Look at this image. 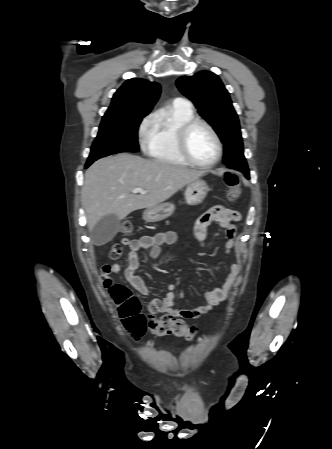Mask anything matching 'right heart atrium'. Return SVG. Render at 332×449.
<instances>
[{
    "instance_id": "obj_1",
    "label": "right heart atrium",
    "mask_w": 332,
    "mask_h": 449,
    "mask_svg": "<svg viewBox=\"0 0 332 449\" xmlns=\"http://www.w3.org/2000/svg\"><path fill=\"white\" fill-rule=\"evenodd\" d=\"M155 118L153 115H149L143 119L139 126V137H140V143L142 147H146L148 140L150 138V135L152 133L153 125H154Z\"/></svg>"
}]
</instances>
